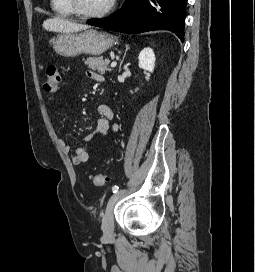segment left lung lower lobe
I'll use <instances>...</instances> for the list:
<instances>
[{
    "label": "left lung lower lobe",
    "mask_w": 255,
    "mask_h": 272,
    "mask_svg": "<svg viewBox=\"0 0 255 272\" xmlns=\"http://www.w3.org/2000/svg\"><path fill=\"white\" fill-rule=\"evenodd\" d=\"M187 0H125L123 6L104 19L88 24L123 33L169 30L184 41Z\"/></svg>",
    "instance_id": "obj_1"
}]
</instances>
